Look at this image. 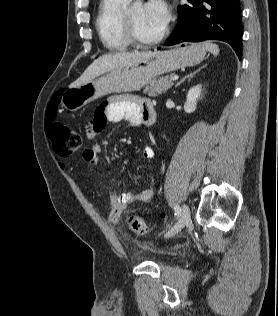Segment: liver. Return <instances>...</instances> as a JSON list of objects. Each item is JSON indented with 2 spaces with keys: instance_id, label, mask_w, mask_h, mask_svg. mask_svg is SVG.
Wrapping results in <instances>:
<instances>
[{
  "instance_id": "obj_1",
  "label": "liver",
  "mask_w": 278,
  "mask_h": 316,
  "mask_svg": "<svg viewBox=\"0 0 278 316\" xmlns=\"http://www.w3.org/2000/svg\"><path fill=\"white\" fill-rule=\"evenodd\" d=\"M158 52H117L100 56L84 71V73L70 85V88L83 85L105 73L119 68L137 64L145 59L155 56Z\"/></svg>"
}]
</instances>
